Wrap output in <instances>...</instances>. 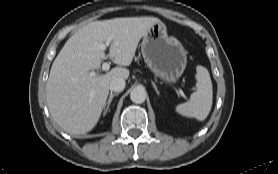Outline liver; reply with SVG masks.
Here are the masks:
<instances>
[{
	"instance_id": "6515ba94",
	"label": "liver",
	"mask_w": 278,
	"mask_h": 174,
	"mask_svg": "<svg viewBox=\"0 0 278 174\" xmlns=\"http://www.w3.org/2000/svg\"><path fill=\"white\" fill-rule=\"evenodd\" d=\"M156 17H121L91 22L75 32L55 58L46 86L49 111L66 132L86 134L99 121L109 94L110 83L127 79L129 66L141 38ZM103 42L110 43L107 57L119 66L106 74L90 76L106 58Z\"/></svg>"
}]
</instances>
